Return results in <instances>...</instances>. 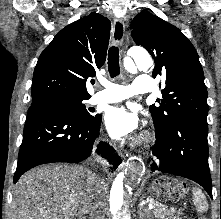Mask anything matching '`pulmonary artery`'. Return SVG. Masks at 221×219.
Here are the masks:
<instances>
[{"instance_id": "pulmonary-artery-1", "label": "pulmonary artery", "mask_w": 221, "mask_h": 219, "mask_svg": "<svg viewBox=\"0 0 221 219\" xmlns=\"http://www.w3.org/2000/svg\"><path fill=\"white\" fill-rule=\"evenodd\" d=\"M102 91L96 92L91 97L92 104L111 103L130 98L137 94L153 92V80L149 75H138L130 86L118 85L107 80H101Z\"/></svg>"}]
</instances>
